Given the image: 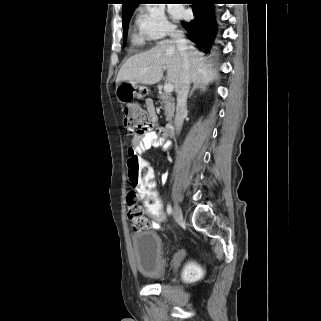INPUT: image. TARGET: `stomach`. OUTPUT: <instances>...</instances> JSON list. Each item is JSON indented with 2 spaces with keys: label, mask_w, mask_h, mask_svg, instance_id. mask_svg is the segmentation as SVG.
<instances>
[{
  "label": "stomach",
  "mask_w": 321,
  "mask_h": 321,
  "mask_svg": "<svg viewBox=\"0 0 321 321\" xmlns=\"http://www.w3.org/2000/svg\"><path fill=\"white\" fill-rule=\"evenodd\" d=\"M149 90L142 85L132 83H121L116 87V97L121 103H128L133 98H144L148 95Z\"/></svg>",
  "instance_id": "1"
}]
</instances>
